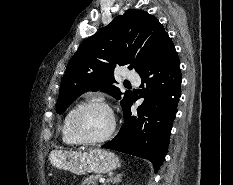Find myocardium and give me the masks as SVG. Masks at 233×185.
I'll return each instance as SVG.
<instances>
[{"label":"myocardium","mask_w":233,"mask_h":185,"mask_svg":"<svg viewBox=\"0 0 233 185\" xmlns=\"http://www.w3.org/2000/svg\"><path fill=\"white\" fill-rule=\"evenodd\" d=\"M92 108H104L106 109L112 118V125L110 130L102 137L99 138H87L85 137L80 129H79V120L82 117V115L87 112L88 110L92 109ZM116 118L115 115L111 109V107L103 102V101H99V100H94V101H90L88 103L83 104L82 106H80L76 112L73 114L71 122H70V129H71V133L73 135V137L81 144H85V145H95V144H100L103 143L107 140H109L115 133L116 131Z\"/></svg>","instance_id":"f54148a6"}]
</instances>
